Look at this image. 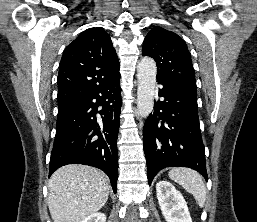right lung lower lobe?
Wrapping results in <instances>:
<instances>
[{"label": "right lung lower lobe", "instance_id": "obj_1", "mask_svg": "<svg viewBox=\"0 0 257 222\" xmlns=\"http://www.w3.org/2000/svg\"><path fill=\"white\" fill-rule=\"evenodd\" d=\"M119 79L118 72L93 93L58 109L49 175L67 164L97 167L108 175L116 193L117 137L122 105Z\"/></svg>", "mask_w": 257, "mask_h": 222}]
</instances>
